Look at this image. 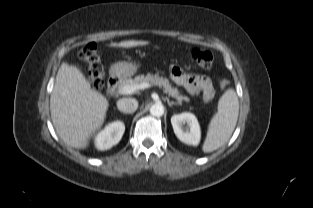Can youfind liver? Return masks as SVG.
I'll list each match as a JSON object with an SVG mask.
<instances>
[{"mask_svg": "<svg viewBox=\"0 0 313 208\" xmlns=\"http://www.w3.org/2000/svg\"><path fill=\"white\" fill-rule=\"evenodd\" d=\"M148 43L129 40L110 46L132 48ZM108 106V100L91 89L79 68L62 63L50 97V112L55 130L64 143L76 149L86 148L102 126Z\"/></svg>", "mask_w": 313, "mask_h": 208, "instance_id": "6515ba94", "label": "liver"}]
</instances>
